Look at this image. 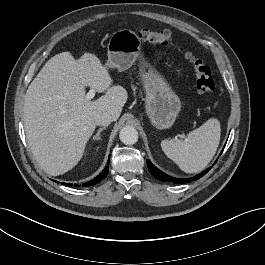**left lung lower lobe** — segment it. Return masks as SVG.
I'll list each match as a JSON object with an SVG mask.
<instances>
[{
  "mask_svg": "<svg viewBox=\"0 0 265 265\" xmlns=\"http://www.w3.org/2000/svg\"><path fill=\"white\" fill-rule=\"evenodd\" d=\"M147 162V166H148V169L150 171V173L157 179L161 180V181H165V182H173L175 184H182V183H188V182H191L193 180H197L199 178H201L202 176H204L208 171L209 169L205 170L204 172L196 175L195 177L193 178H189V179H176V178H173V177H170L168 175H166L165 173L161 172L160 170H158L149 160H146Z\"/></svg>",
  "mask_w": 265,
  "mask_h": 265,
  "instance_id": "0a47b994",
  "label": "left lung lower lobe"
}]
</instances>
